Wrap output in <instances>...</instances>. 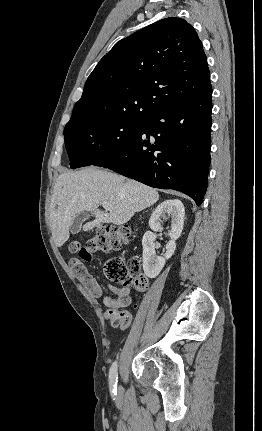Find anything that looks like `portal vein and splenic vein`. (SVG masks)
I'll return each instance as SVG.
<instances>
[{
  "mask_svg": "<svg viewBox=\"0 0 262 431\" xmlns=\"http://www.w3.org/2000/svg\"><path fill=\"white\" fill-rule=\"evenodd\" d=\"M102 206L107 211H110V210L113 209L112 206H111V204H109L108 202H102Z\"/></svg>",
  "mask_w": 262,
  "mask_h": 431,
  "instance_id": "portal-vein-and-splenic-vein-1",
  "label": "portal vein and splenic vein"
}]
</instances>
